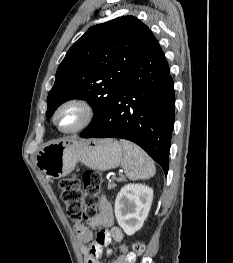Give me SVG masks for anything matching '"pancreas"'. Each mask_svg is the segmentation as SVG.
<instances>
[{"mask_svg": "<svg viewBox=\"0 0 233 263\" xmlns=\"http://www.w3.org/2000/svg\"><path fill=\"white\" fill-rule=\"evenodd\" d=\"M115 186H116V184H114V183H109L108 184V189L110 190V189H113V188H115Z\"/></svg>", "mask_w": 233, "mask_h": 263, "instance_id": "cf45deb5", "label": "pancreas"}]
</instances>
